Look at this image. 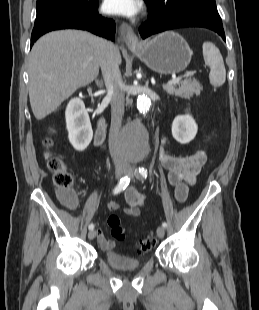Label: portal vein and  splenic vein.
I'll list each match as a JSON object with an SVG mask.
<instances>
[{
  "label": "portal vein and splenic vein",
  "mask_w": 259,
  "mask_h": 310,
  "mask_svg": "<svg viewBox=\"0 0 259 310\" xmlns=\"http://www.w3.org/2000/svg\"><path fill=\"white\" fill-rule=\"evenodd\" d=\"M181 76L180 77H176V78H173L172 80L168 81L167 85H174V84H178L181 80Z\"/></svg>",
  "instance_id": "1"
}]
</instances>
